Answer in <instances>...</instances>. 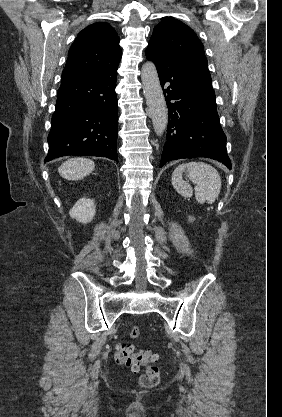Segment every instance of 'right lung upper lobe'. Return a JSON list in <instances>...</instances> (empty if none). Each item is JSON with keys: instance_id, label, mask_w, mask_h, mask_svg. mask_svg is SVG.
I'll return each instance as SVG.
<instances>
[{"instance_id": "1", "label": "right lung upper lobe", "mask_w": 282, "mask_h": 417, "mask_svg": "<svg viewBox=\"0 0 282 417\" xmlns=\"http://www.w3.org/2000/svg\"><path fill=\"white\" fill-rule=\"evenodd\" d=\"M122 52L117 32L105 22L83 29L75 39L62 73V83L119 65Z\"/></svg>"}]
</instances>
